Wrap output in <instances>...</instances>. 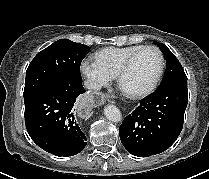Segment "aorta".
Masks as SVG:
<instances>
[{
    "instance_id": "1",
    "label": "aorta",
    "mask_w": 209,
    "mask_h": 179,
    "mask_svg": "<svg viewBox=\"0 0 209 179\" xmlns=\"http://www.w3.org/2000/svg\"><path fill=\"white\" fill-rule=\"evenodd\" d=\"M106 118L112 122H119L122 119L120 110L115 105H107L104 108Z\"/></svg>"
}]
</instances>
